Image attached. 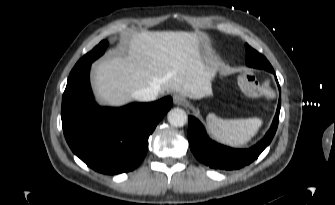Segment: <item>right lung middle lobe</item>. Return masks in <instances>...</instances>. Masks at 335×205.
I'll return each instance as SVG.
<instances>
[{
    "label": "right lung middle lobe",
    "mask_w": 335,
    "mask_h": 205,
    "mask_svg": "<svg viewBox=\"0 0 335 205\" xmlns=\"http://www.w3.org/2000/svg\"><path fill=\"white\" fill-rule=\"evenodd\" d=\"M108 46V42L106 40L101 41L92 51L84 55L74 66L71 73H74L78 71L81 67L91 64L93 61H95L97 58H99L106 50V47Z\"/></svg>",
    "instance_id": "dd1d6c3e"
}]
</instances>
